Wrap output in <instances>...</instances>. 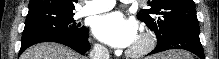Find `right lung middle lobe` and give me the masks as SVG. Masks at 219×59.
<instances>
[{"mask_svg": "<svg viewBox=\"0 0 219 59\" xmlns=\"http://www.w3.org/2000/svg\"><path fill=\"white\" fill-rule=\"evenodd\" d=\"M73 12L38 10L28 13L22 33V44L50 36L85 38L88 30L73 20Z\"/></svg>", "mask_w": 219, "mask_h": 59, "instance_id": "right-lung-middle-lobe-1", "label": "right lung middle lobe"}]
</instances>
